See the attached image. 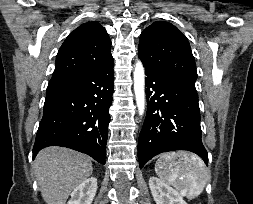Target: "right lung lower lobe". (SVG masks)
<instances>
[{"mask_svg": "<svg viewBox=\"0 0 253 204\" xmlns=\"http://www.w3.org/2000/svg\"><path fill=\"white\" fill-rule=\"evenodd\" d=\"M114 61L49 83L33 158L47 146L68 147L105 164L108 109L112 102Z\"/></svg>", "mask_w": 253, "mask_h": 204, "instance_id": "right-lung-lower-lobe-1", "label": "right lung lower lobe"}]
</instances>
